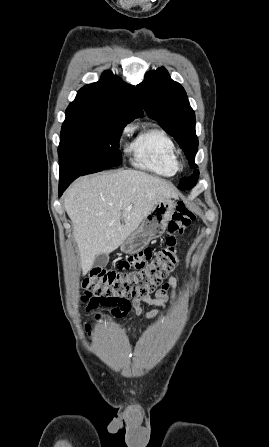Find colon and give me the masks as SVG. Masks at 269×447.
Masks as SVG:
<instances>
[{"label":"colon","instance_id":"colon-1","mask_svg":"<svg viewBox=\"0 0 269 447\" xmlns=\"http://www.w3.org/2000/svg\"><path fill=\"white\" fill-rule=\"evenodd\" d=\"M195 213L183 203L177 205L167 226L165 238L166 248L153 253L149 250H141L136 253H127L126 257H116L114 266H94L92 272L86 276L82 283L84 291L80 300L84 306L91 309L95 303L101 302L103 306H112L113 312H107L105 317H125L123 313L129 308V298L144 297L154 292L157 286L180 263L178 253V235L189 227L195 220ZM122 271H134L122 273ZM94 296L93 300L91 299ZM123 313V314H121ZM94 319L101 314L94 312ZM90 332V326H85Z\"/></svg>","mask_w":269,"mask_h":447}]
</instances>
